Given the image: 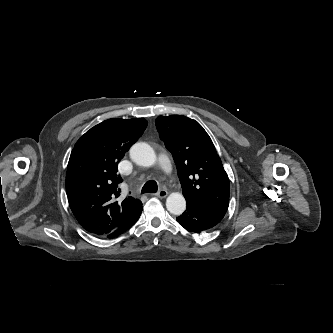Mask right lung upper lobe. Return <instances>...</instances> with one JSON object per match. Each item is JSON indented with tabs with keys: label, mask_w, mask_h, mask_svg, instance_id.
Instances as JSON below:
<instances>
[{
	"label": "right lung upper lobe",
	"mask_w": 333,
	"mask_h": 333,
	"mask_svg": "<svg viewBox=\"0 0 333 333\" xmlns=\"http://www.w3.org/2000/svg\"><path fill=\"white\" fill-rule=\"evenodd\" d=\"M144 118L105 120L87 131L75 144L68 162L66 193L79 224L104 237L127 223L141 209L132 197L122 203L117 165L147 127Z\"/></svg>",
	"instance_id": "1"
}]
</instances>
